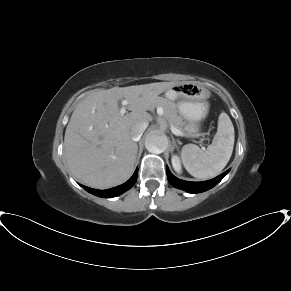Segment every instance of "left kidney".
I'll return each instance as SVG.
<instances>
[{
  "instance_id": "obj_1",
  "label": "left kidney",
  "mask_w": 291,
  "mask_h": 291,
  "mask_svg": "<svg viewBox=\"0 0 291 291\" xmlns=\"http://www.w3.org/2000/svg\"><path fill=\"white\" fill-rule=\"evenodd\" d=\"M171 162H172V166H173L174 170L178 174L182 173L181 160H180L179 156L178 155H173Z\"/></svg>"
}]
</instances>
